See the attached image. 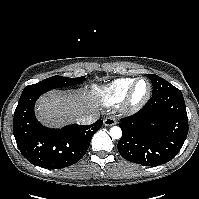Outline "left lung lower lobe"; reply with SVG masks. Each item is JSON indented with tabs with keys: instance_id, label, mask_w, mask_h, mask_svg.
I'll return each mask as SVG.
<instances>
[{
	"instance_id": "1",
	"label": "left lung lower lobe",
	"mask_w": 199,
	"mask_h": 199,
	"mask_svg": "<svg viewBox=\"0 0 199 199\" xmlns=\"http://www.w3.org/2000/svg\"><path fill=\"white\" fill-rule=\"evenodd\" d=\"M117 148L123 158L145 166L173 159L188 134V118L179 89L152 96L136 114L122 118Z\"/></svg>"
}]
</instances>
